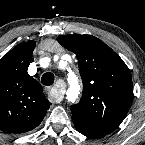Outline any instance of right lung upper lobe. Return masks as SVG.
Here are the masks:
<instances>
[{
    "instance_id": "1",
    "label": "right lung upper lobe",
    "mask_w": 145,
    "mask_h": 145,
    "mask_svg": "<svg viewBox=\"0 0 145 145\" xmlns=\"http://www.w3.org/2000/svg\"><path fill=\"white\" fill-rule=\"evenodd\" d=\"M35 41L16 46L0 60V130L24 133L37 127L51 103L27 73Z\"/></svg>"
}]
</instances>
